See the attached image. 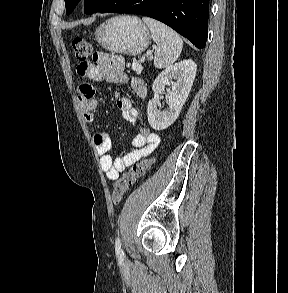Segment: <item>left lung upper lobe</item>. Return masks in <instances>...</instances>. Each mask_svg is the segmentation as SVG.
Instances as JSON below:
<instances>
[{"instance_id":"left-lung-upper-lobe-1","label":"left lung upper lobe","mask_w":288,"mask_h":293,"mask_svg":"<svg viewBox=\"0 0 288 293\" xmlns=\"http://www.w3.org/2000/svg\"><path fill=\"white\" fill-rule=\"evenodd\" d=\"M79 1L80 0H65L67 15L73 12ZM116 1L118 0H84L85 12L87 14L101 12Z\"/></svg>"}]
</instances>
